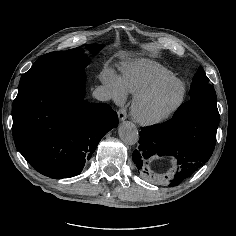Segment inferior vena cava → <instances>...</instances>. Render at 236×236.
<instances>
[{
	"instance_id": "inferior-vena-cava-1",
	"label": "inferior vena cava",
	"mask_w": 236,
	"mask_h": 236,
	"mask_svg": "<svg viewBox=\"0 0 236 236\" xmlns=\"http://www.w3.org/2000/svg\"><path fill=\"white\" fill-rule=\"evenodd\" d=\"M93 96L98 101H109L112 98V93L107 86H99L94 90Z\"/></svg>"
}]
</instances>
